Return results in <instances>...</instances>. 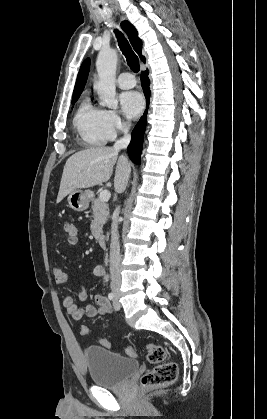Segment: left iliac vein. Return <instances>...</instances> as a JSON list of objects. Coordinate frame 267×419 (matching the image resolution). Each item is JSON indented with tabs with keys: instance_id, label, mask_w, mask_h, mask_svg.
<instances>
[{
	"instance_id": "4c4485c4",
	"label": "left iliac vein",
	"mask_w": 267,
	"mask_h": 419,
	"mask_svg": "<svg viewBox=\"0 0 267 419\" xmlns=\"http://www.w3.org/2000/svg\"><path fill=\"white\" fill-rule=\"evenodd\" d=\"M113 305H114V308H115L116 310H119V309H120V303H119V301H118V297H117V296H116V298H115V300H114Z\"/></svg>"
}]
</instances>
